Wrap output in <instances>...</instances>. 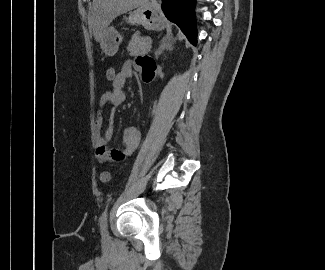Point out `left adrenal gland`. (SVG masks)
Listing matches in <instances>:
<instances>
[{"mask_svg":"<svg viewBox=\"0 0 325 270\" xmlns=\"http://www.w3.org/2000/svg\"><path fill=\"white\" fill-rule=\"evenodd\" d=\"M167 49H170V50L173 49V47H172V42L168 41V40L166 39V37H164V38L161 40L158 49L155 51V57L158 58L159 55H160L163 51H165V50H167Z\"/></svg>","mask_w":325,"mask_h":270,"instance_id":"left-adrenal-gland-1","label":"left adrenal gland"}]
</instances>
